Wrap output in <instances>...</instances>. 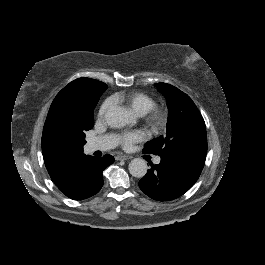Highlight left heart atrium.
Segmentation results:
<instances>
[{"label":"left heart atrium","mask_w":265,"mask_h":265,"mask_svg":"<svg viewBox=\"0 0 265 265\" xmlns=\"http://www.w3.org/2000/svg\"><path fill=\"white\" fill-rule=\"evenodd\" d=\"M122 134L124 135V142L122 145L125 148H130L133 143L142 141L146 138L145 133L139 130L125 131Z\"/></svg>","instance_id":"1"}]
</instances>
